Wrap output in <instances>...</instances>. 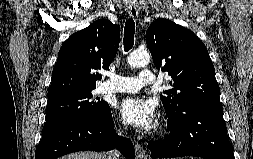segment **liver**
<instances>
[{
  "instance_id": "6515ba94",
  "label": "liver",
  "mask_w": 253,
  "mask_h": 159,
  "mask_svg": "<svg viewBox=\"0 0 253 159\" xmlns=\"http://www.w3.org/2000/svg\"><path fill=\"white\" fill-rule=\"evenodd\" d=\"M59 159H107V154L103 152H76Z\"/></svg>"
}]
</instances>
